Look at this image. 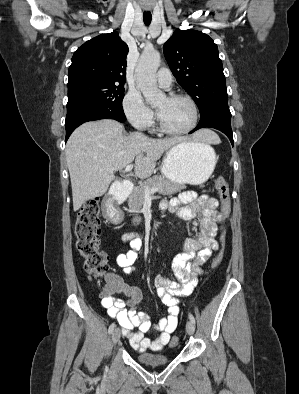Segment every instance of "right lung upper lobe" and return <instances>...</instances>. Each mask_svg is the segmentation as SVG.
Masks as SVG:
<instances>
[{
    "label": "right lung upper lobe",
    "mask_w": 299,
    "mask_h": 394,
    "mask_svg": "<svg viewBox=\"0 0 299 394\" xmlns=\"http://www.w3.org/2000/svg\"><path fill=\"white\" fill-rule=\"evenodd\" d=\"M128 51L117 32L101 34L85 42L73 54L68 87L93 82L124 85Z\"/></svg>",
    "instance_id": "right-lung-upper-lobe-1"
}]
</instances>
